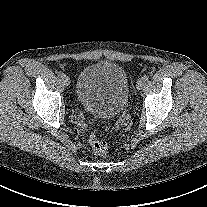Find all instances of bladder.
<instances>
[{"mask_svg": "<svg viewBox=\"0 0 207 207\" xmlns=\"http://www.w3.org/2000/svg\"><path fill=\"white\" fill-rule=\"evenodd\" d=\"M75 95L78 104L94 116L116 115L128 103L127 74L122 67L112 62L89 64L78 75Z\"/></svg>", "mask_w": 207, "mask_h": 207, "instance_id": "1", "label": "bladder"}]
</instances>
